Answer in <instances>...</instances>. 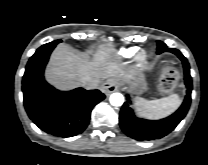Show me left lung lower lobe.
<instances>
[{
  "label": "left lung lower lobe",
  "mask_w": 208,
  "mask_h": 165,
  "mask_svg": "<svg viewBox=\"0 0 208 165\" xmlns=\"http://www.w3.org/2000/svg\"><path fill=\"white\" fill-rule=\"evenodd\" d=\"M165 51L172 52L182 61L185 74V85L187 87V95L181 107L174 114L167 118L156 121L137 118L133 112V109L130 107L131 101L128 99L123 104L120 111V126L126 135L139 141L154 140L166 136L168 133L174 130L180 121L186 116L190 107L192 78L190 76L189 63L179 50L166 48L163 52Z\"/></svg>",
  "instance_id": "obj_1"
}]
</instances>
